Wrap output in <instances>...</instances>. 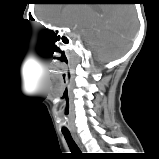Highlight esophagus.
<instances>
[{
	"instance_id": "esophagus-1",
	"label": "esophagus",
	"mask_w": 159,
	"mask_h": 159,
	"mask_svg": "<svg viewBox=\"0 0 159 159\" xmlns=\"http://www.w3.org/2000/svg\"><path fill=\"white\" fill-rule=\"evenodd\" d=\"M76 142L78 143V145L80 146V148L83 150V146L80 144L79 140L77 137H75Z\"/></svg>"
}]
</instances>
